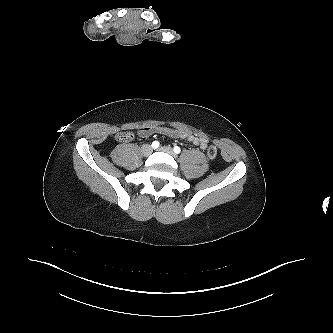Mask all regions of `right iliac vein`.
I'll use <instances>...</instances> for the list:
<instances>
[{"instance_id":"1","label":"right iliac vein","mask_w":333,"mask_h":333,"mask_svg":"<svg viewBox=\"0 0 333 333\" xmlns=\"http://www.w3.org/2000/svg\"><path fill=\"white\" fill-rule=\"evenodd\" d=\"M152 147L150 146V145H148V144H146V145H143V147H142V153H143V155L144 156H149L151 153H152Z\"/></svg>"}]
</instances>
